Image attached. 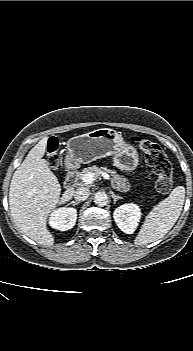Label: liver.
Returning a JSON list of instances; mask_svg holds the SVG:
<instances>
[{"mask_svg":"<svg viewBox=\"0 0 193 351\" xmlns=\"http://www.w3.org/2000/svg\"><path fill=\"white\" fill-rule=\"evenodd\" d=\"M47 142L48 137H44L29 151L14 172L9 188V207L16 225L29 238L45 246L54 243L47 228L49 213L74 195L71 188L60 197L61 185L43 159Z\"/></svg>","mask_w":193,"mask_h":351,"instance_id":"1","label":"liver"}]
</instances>
